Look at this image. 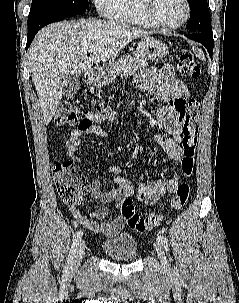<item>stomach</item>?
I'll return each instance as SVG.
<instances>
[{"label":"stomach","instance_id":"stomach-1","mask_svg":"<svg viewBox=\"0 0 239 303\" xmlns=\"http://www.w3.org/2000/svg\"><path fill=\"white\" fill-rule=\"evenodd\" d=\"M169 52L168 46L153 37L144 36L137 44L136 53L145 60L158 61ZM112 80L110 68L104 67L91 78V84L104 86Z\"/></svg>","mask_w":239,"mask_h":303}]
</instances>
